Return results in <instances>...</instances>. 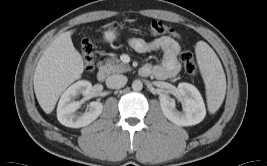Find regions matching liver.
<instances>
[{"label": "liver", "mask_w": 267, "mask_h": 166, "mask_svg": "<svg viewBox=\"0 0 267 166\" xmlns=\"http://www.w3.org/2000/svg\"><path fill=\"white\" fill-rule=\"evenodd\" d=\"M74 30L60 34L46 48L34 73V91L40 107L50 114L62 92L84 71L81 54L73 46Z\"/></svg>", "instance_id": "liver-1"}]
</instances>
